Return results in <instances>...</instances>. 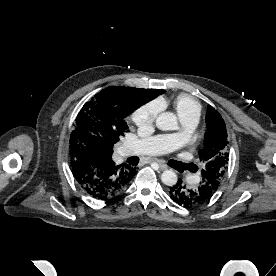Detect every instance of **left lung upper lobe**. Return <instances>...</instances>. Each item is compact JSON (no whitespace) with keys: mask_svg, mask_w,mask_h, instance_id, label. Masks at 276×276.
Listing matches in <instances>:
<instances>
[{"mask_svg":"<svg viewBox=\"0 0 276 276\" xmlns=\"http://www.w3.org/2000/svg\"><path fill=\"white\" fill-rule=\"evenodd\" d=\"M207 129L204 147L199 150L201 169V184L208 185L213 193L219 188L228 164V139L225 123L221 115L211 106L208 107Z\"/></svg>","mask_w":276,"mask_h":276,"instance_id":"left-lung-upper-lobe-1","label":"left lung upper lobe"}]
</instances>
